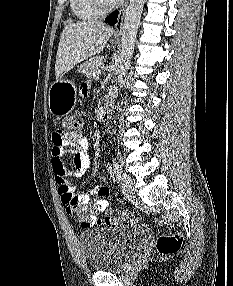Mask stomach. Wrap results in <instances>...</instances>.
Instances as JSON below:
<instances>
[{
    "label": "stomach",
    "instance_id": "obj_1",
    "mask_svg": "<svg viewBox=\"0 0 233 286\" xmlns=\"http://www.w3.org/2000/svg\"><path fill=\"white\" fill-rule=\"evenodd\" d=\"M75 103V91L71 83L58 78L50 87L48 104L50 112L56 117L68 114Z\"/></svg>",
    "mask_w": 233,
    "mask_h": 286
}]
</instances>
